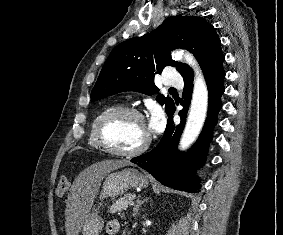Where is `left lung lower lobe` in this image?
<instances>
[{"mask_svg": "<svg viewBox=\"0 0 283 235\" xmlns=\"http://www.w3.org/2000/svg\"><path fill=\"white\" fill-rule=\"evenodd\" d=\"M209 92L208 115L204 128L193 147L186 153L177 151V145L185 125V118L191 100L193 78L184 79V107L180 112L181 123L173 122L175 105L168 115L167 127L160 143L149 153L135 157L131 162L148 171L163 185L186 192L195 193L200 188V179L195 176V169L205 158L212 139L213 127L217 123V114L221 109V95L224 93L225 72L222 62L204 72Z\"/></svg>", "mask_w": 283, "mask_h": 235, "instance_id": "left-lung-lower-lobe-1", "label": "left lung lower lobe"}]
</instances>
